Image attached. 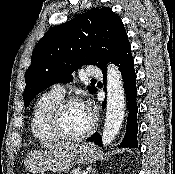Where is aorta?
Here are the masks:
<instances>
[{
    "label": "aorta",
    "instance_id": "aorta-1",
    "mask_svg": "<svg viewBox=\"0 0 175 174\" xmlns=\"http://www.w3.org/2000/svg\"><path fill=\"white\" fill-rule=\"evenodd\" d=\"M125 114L124 88L120 71L113 65L107 70L106 118L102 142L109 145L119 133Z\"/></svg>",
    "mask_w": 175,
    "mask_h": 174
}]
</instances>
